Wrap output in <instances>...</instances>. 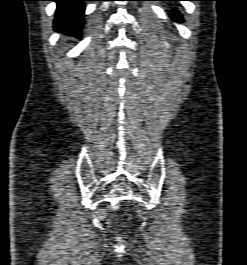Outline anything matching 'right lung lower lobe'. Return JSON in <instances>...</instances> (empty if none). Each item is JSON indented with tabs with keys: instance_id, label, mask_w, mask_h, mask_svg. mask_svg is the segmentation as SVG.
I'll return each instance as SVG.
<instances>
[{
	"instance_id": "98d812e1",
	"label": "right lung lower lobe",
	"mask_w": 247,
	"mask_h": 265,
	"mask_svg": "<svg viewBox=\"0 0 247 265\" xmlns=\"http://www.w3.org/2000/svg\"><path fill=\"white\" fill-rule=\"evenodd\" d=\"M57 2V15L54 20L55 30H65L79 35L84 24V1L89 0H50Z\"/></svg>"
}]
</instances>
